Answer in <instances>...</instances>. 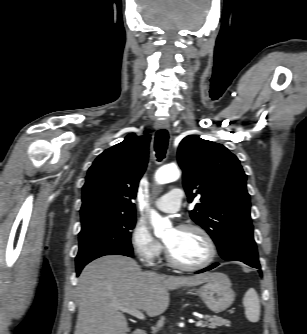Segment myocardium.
I'll return each mask as SVG.
<instances>
[{
    "label": "myocardium",
    "instance_id": "obj_1",
    "mask_svg": "<svg viewBox=\"0 0 307 334\" xmlns=\"http://www.w3.org/2000/svg\"><path fill=\"white\" fill-rule=\"evenodd\" d=\"M180 230H194L196 232H198L206 241L208 249H209V254L208 257L201 263L199 264H194V265H188V264H183L180 261H178L174 255L172 254V252L170 251L169 247H167V259L168 262L170 263V265H172L173 267L183 270V271H197V270H201L204 269L206 267H208L209 265H211L213 263V261L216 258L217 255V247L216 244L213 240V238L211 237V235L207 232V230H205L203 227L197 225V224H193V223H186V224H182L179 227Z\"/></svg>",
    "mask_w": 307,
    "mask_h": 334
}]
</instances>
